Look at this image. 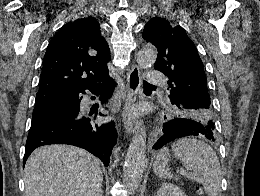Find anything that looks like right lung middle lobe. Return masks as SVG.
<instances>
[{"label":"right lung middle lobe","instance_id":"obj_1","mask_svg":"<svg viewBox=\"0 0 260 196\" xmlns=\"http://www.w3.org/2000/svg\"><path fill=\"white\" fill-rule=\"evenodd\" d=\"M72 116L66 113H60L46 109L45 107L35 108L33 110V118L31 129L37 128L39 126L52 123L59 120H64L71 118Z\"/></svg>","mask_w":260,"mask_h":196}]
</instances>
